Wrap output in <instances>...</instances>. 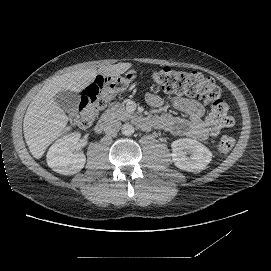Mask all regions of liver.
Listing matches in <instances>:
<instances>
[{"label": "liver", "instance_id": "liver-1", "mask_svg": "<svg viewBox=\"0 0 271 271\" xmlns=\"http://www.w3.org/2000/svg\"><path fill=\"white\" fill-rule=\"evenodd\" d=\"M131 66V63H118L98 70L79 69L51 78L33 97L23 120L24 138L32 156L40 159L53 141L70 130L67 115L55 102L56 94L67 90L79 93L98 74L114 77L125 73Z\"/></svg>", "mask_w": 271, "mask_h": 271}]
</instances>
